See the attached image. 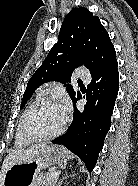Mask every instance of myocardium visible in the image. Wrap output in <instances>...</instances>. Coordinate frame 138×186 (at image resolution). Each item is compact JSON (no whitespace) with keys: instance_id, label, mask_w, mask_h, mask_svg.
<instances>
[{"instance_id":"obj_1","label":"myocardium","mask_w":138,"mask_h":186,"mask_svg":"<svg viewBox=\"0 0 138 186\" xmlns=\"http://www.w3.org/2000/svg\"><path fill=\"white\" fill-rule=\"evenodd\" d=\"M49 104H56V105L61 106L60 102L58 100H56L55 98L46 97V98L41 99L40 101H38L34 105H32L22 116L21 134L26 140L31 141V142L48 141V140H52V139L62 135L66 131V129L69 125V122H70V116H69L68 112H66V118H65V122H64L63 126L58 131H56L52 134L45 135V136H35V135L30 134L27 131L26 122H27V119L29 118V116L38 108L43 107L45 105H49Z\"/></svg>"}]
</instances>
